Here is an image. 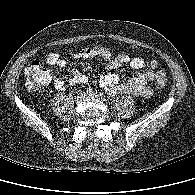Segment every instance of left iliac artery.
I'll list each match as a JSON object with an SVG mask.
<instances>
[{"instance_id": "1", "label": "left iliac artery", "mask_w": 195, "mask_h": 195, "mask_svg": "<svg viewBox=\"0 0 195 195\" xmlns=\"http://www.w3.org/2000/svg\"><path fill=\"white\" fill-rule=\"evenodd\" d=\"M100 96L103 97V93H100Z\"/></svg>"}]
</instances>
